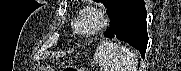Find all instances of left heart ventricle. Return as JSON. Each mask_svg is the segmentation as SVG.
I'll return each instance as SVG.
<instances>
[{"instance_id": "b2bd125f", "label": "left heart ventricle", "mask_w": 181, "mask_h": 71, "mask_svg": "<svg viewBox=\"0 0 181 71\" xmlns=\"http://www.w3.org/2000/svg\"><path fill=\"white\" fill-rule=\"evenodd\" d=\"M93 25H94V19L92 17L88 16L83 20L82 26H83L84 29H89Z\"/></svg>"}]
</instances>
